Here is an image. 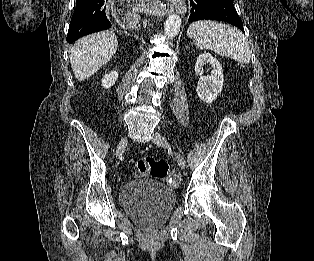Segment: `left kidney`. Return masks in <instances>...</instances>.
Masks as SVG:
<instances>
[{
	"label": "left kidney",
	"mask_w": 314,
	"mask_h": 261,
	"mask_svg": "<svg viewBox=\"0 0 314 261\" xmlns=\"http://www.w3.org/2000/svg\"><path fill=\"white\" fill-rule=\"evenodd\" d=\"M212 67L211 75L203 76L204 65ZM195 72L200 76L196 88L200 100L211 104L222 91L224 75L219 61L209 53L199 55L195 65Z\"/></svg>",
	"instance_id": "obj_1"
}]
</instances>
